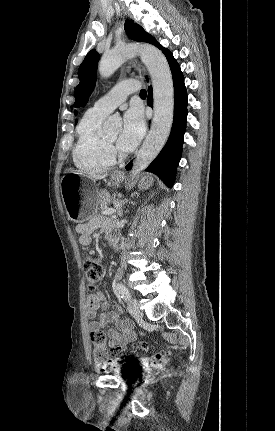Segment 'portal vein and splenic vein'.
Instances as JSON below:
<instances>
[{
	"label": "portal vein and splenic vein",
	"instance_id": "portal-vein-and-splenic-vein-1",
	"mask_svg": "<svg viewBox=\"0 0 275 431\" xmlns=\"http://www.w3.org/2000/svg\"><path fill=\"white\" fill-rule=\"evenodd\" d=\"M115 212H116V210H115V209L108 208V209L103 210L101 213H102L103 215H112V214H114Z\"/></svg>",
	"mask_w": 275,
	"mask_h": 431
}]
</instances>
